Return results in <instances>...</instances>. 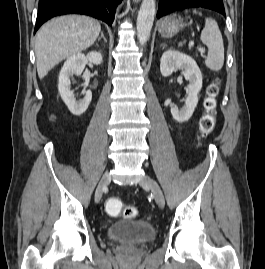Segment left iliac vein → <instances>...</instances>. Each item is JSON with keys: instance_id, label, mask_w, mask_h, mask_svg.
Masks as SVG:
<instances>
[{"instance_id": "left-iliac-vein-1", "label": "left iliac vein", "mask_w": 265, "mask_h": 269, "mask_svg": "<svg viewBox=\"0 0 265 269\" xmlns=\"http://www.w3.org/2000/svg\"><path fill=\"white\" fill-rule=\"evenodd\" d=\"M140 186L151 190L154 195L155 202L160 208H163L165 206V198L162 193V190L159 184L153 178L148 175H144V177L140 181Z\"/></svg>"}]
</instances>
